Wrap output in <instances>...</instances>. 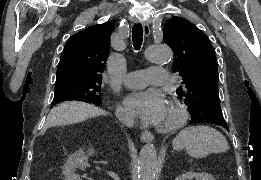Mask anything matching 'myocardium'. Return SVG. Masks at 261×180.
<instances>
[{
    "label": "myocardium",
    "instance_id": "1",
    "mask_svg": "<svg viewBox=\"0 0 261 180\" xmlns=\"http://www.w3.org/2000/svg\"><path fill=\"white\" fill-rule=\"evenodd\" d=\"M170 104V114L166 123L153 124V130L162 135L176 134L186 119V109L184 103L171 95L168 99Z\"/></svg>",
    "mask_w": 261,
    "mask_h": 180
}]
</instances>
